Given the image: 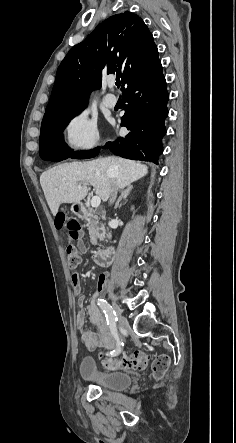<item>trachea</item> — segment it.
Here are the masks:
<instances>
[{"instance_id": "3493384b", "label": "trachea", "mask_w": 236, "mask_h": 443, "mask_svg": "<svg viewBox=\"0 0 236 443\" xmlns=\"http://www.w3.org/2000/svg\"><path fill=\"white\" fill-rule=\"evenodd\" d=\"M120 85H121L120 82H116V86H117L118 88L120 87Z\"/></svg>"}]
</instances>
